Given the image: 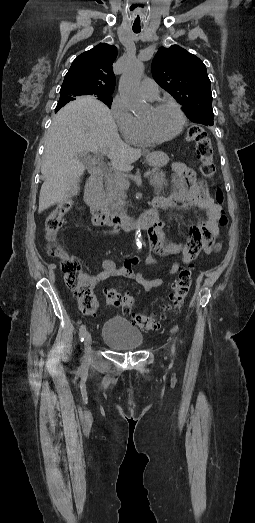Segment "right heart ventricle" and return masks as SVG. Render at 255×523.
Returning a JSON list of instances; mask_svg holds the SVG:
<instances>
[{
    "label": "right heart ventricle",
    "instance_id": "right-heart-ventricle-1",
    "mask_svg": "<svg viewBox=\"0 0 255 523\" xmlns=\"http://www.w3.org/2000/svg\"><path fill=\"white\" fill-rule=\"evenodd\" d=\"M125 137L127 141L133 145H144L149 143V141L143 135L141 128V120L136 117H134V124L132 128L129 130Z\"/></svg>",
    "mask_w": 255,
    "mask_h": 523
}]
</instances>
